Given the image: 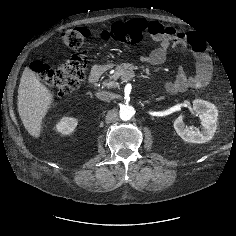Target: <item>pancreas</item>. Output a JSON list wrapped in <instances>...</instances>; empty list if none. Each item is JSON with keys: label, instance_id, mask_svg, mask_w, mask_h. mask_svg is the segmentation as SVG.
I'll list each match as a JSON object with an SVG mask.
<instances>
[{"label": "pancreas", "instance_id": "1", "mask_svg": "<svg viewBox=\"0 0 236 236\" xmlns=\"http://www.w3.org/2000/svg\"><path fill=\"white\" fill-rule=\"evenodd\" d=\"M134 70H138V67L133 64L123 63L118 65L114 73L109 75V82H105V85L107 87H117L118 83L116 81L118 79L126 80L129 77H133ZM146 72H149V70L146 69Z\"/></svg>", "mask_w": 236, "mask_h": 236}]
</instances>
